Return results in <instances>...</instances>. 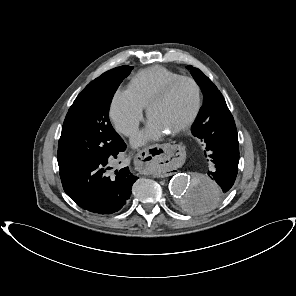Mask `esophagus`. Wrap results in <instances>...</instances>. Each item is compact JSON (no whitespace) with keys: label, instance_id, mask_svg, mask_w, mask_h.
<instances>
[{"label":"esophagus","instance_id":"esophagus-1","mask_svg":"<svg viewBox=\"0 0 296 296\" xmlns=\"http://www.w3.org/2000/svg\"><path fill=\"white\" fill-rule=\"evenodd\" d=\"M177 159V152L173 146L166 141L158 142L155 146L142 147L134 159V171L141 176L152 172L161 163L171 165Z\"/></svg>","mask_w":296,"mask_h":296}]
</instances>
